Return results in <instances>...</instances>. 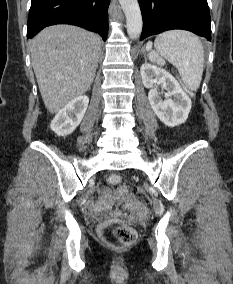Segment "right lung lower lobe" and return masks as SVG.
<instances>
[{
	"mask_svg": "<svg viewBox=\"0 0 233 284\" xmlns=\"http://www.w3.org/2000/svg\"><path fill=\"white\" fill-rule=\"evenodd\" d=\"M110 0H32L27 38L54 24H72L98 32L105 41L108 33Z\"/></svg>",
	"mask_w": 233,
	"mask_h": 284,
	"instance_id": "right-lung-lower-lobe-1",
	"label": "right lung lower lobe"
}]
</instances>
